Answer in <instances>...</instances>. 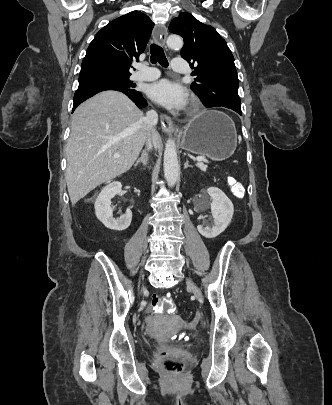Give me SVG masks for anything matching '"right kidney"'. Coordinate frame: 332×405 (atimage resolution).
Listing matches in <instances>:
<instances>
[{"instance_id": "ca27d5eb", "label": "right kidney", "mask_w": 332, "mask_h": 405, "mask_svg": "<svg viewBox=\"0 0 332 405\" xmlns=\"http://www.w3.org/2000/svg\"><path fill=\"white\" fill-rule=\"evenodd\" d=\"M122 184L120 182H112L102 189L98 195L94 208L97 219L103 223L105 227L115 231L126 230L132 221V211L127 209L120 218L113 217L111 207V199L121 193Z\"/></svg>"}]
</instances>
